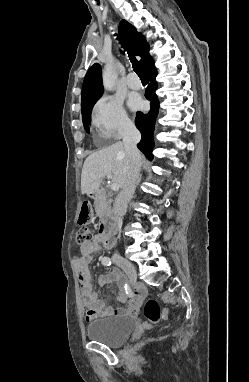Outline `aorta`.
I'll return each mask as SVG.
<instances>
[{
  "label": "aorta",
  "mask_w": 249,
  "mask_h": 382,
  "mask_svg": "<svg viewBox=\"0 0 249 382\" xmlns=\"http://www.w3.org/2000/svg\"><path fill=\"white\" fill-rule=\"evenodd\" d=\"M103 86L107 91H112L114 89V84L116 80V74L113 68V62L109 61L103 70Z\"/></svg>",
  "instance_id": "obj_1"
}]
</instances>
